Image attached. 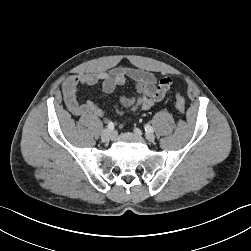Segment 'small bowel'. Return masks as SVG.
<instances>
[{
    "mask_svg": "<svg viewBox=\"0 0 251 251\" xmlns=\"http://www.w3.org/2000/svg\"><path fill=\"white\" fill-rule=\"evenodd\" d=\"M127 80L134 83L136 93L120 98L116 106L120 115L149 110L163 99L172 84L169 77L158 80L153 73L132 67L117 66L108 71L83 72L71 75L63 82L65 104L75 116L103 117L104 111L96 103L79 97L78 87L100 85L103 92L112 94Z\"/></svg>",
    "mask_w": 251,
    "mask_h": 251,
    "instance_id": "c3829d8e",
    "label": "small bowel"
}]
</instances>
